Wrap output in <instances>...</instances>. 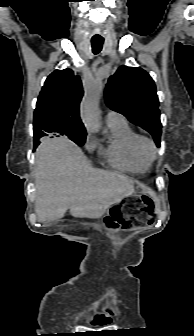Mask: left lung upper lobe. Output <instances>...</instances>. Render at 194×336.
<instances>
[{
	"mask_svg": "<svg viewBox=\"0 0 194 336\" xmlns=\"http://www.w3.org/2000/svg\"><path fill=\"white\" fill-rule=\"evenodd\" d=\"M107 105L129 121L150 132L160 144L161 122L156 87L150 75L140 67H120L106 86Z\"/></svg>",
	"mask_w": 194,
	"mask_h": 336,
	"instance_id": "5c2ea615",
	"label": "left lung upper lobe"
}]
</instances>
